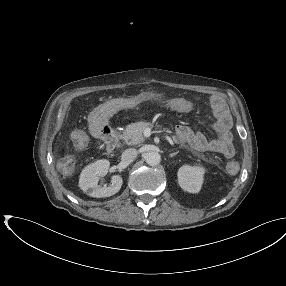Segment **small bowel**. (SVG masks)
I'll use <instances>...</instances> for the list:
<instances>
[{
	"instance_id": "c3829d8e",
	"label": "small bowel",
	"mask_w": 286,
	"mask_h": 286,
	"mask_svg": "<svg viewBox=\"0 0 286 286\" xmlns=\"http://www.w3.org/2000/svg\"><path fill=\"white\" fill-rule=\"evenodd\" d=\"M168 106L181 113H189L194 108L191 101L182 98L170 100ZM210 106L217 119L214 127L217 133L216 139H210L205 132L193 131L184 125L176 128V135L182 143H187L198 151L218 153L225 158H232L235 154V147L231 133L232 119L227 104L221 96H213Z\"/></svg>"
}]
</instances>
